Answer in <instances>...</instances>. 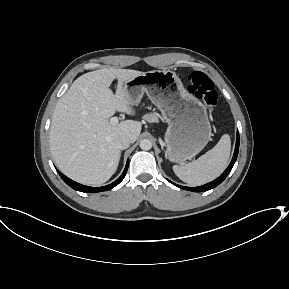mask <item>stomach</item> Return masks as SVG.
Returning <instances> with one entry per match:
<instances>
[{
  "label": "stomach",
  "mask_w": 289,
  "mask_h": 289,
  "mask_svg": "<svg viewBox=\"0 0 289 289\" xmlns=\"http://www.w3.org/2000/svg\"><path fill=\"white\" fill-rule=\"evenodd\" d=\"M125 90L132 105L146 94L160 109L168 124L165 142L170 161L191 159L209 142L212 132L206 107L186 91L175 71L145 72L128 80Z\"/></svg>",
  "instance_id": "1"
}]
</instances>
